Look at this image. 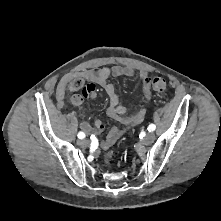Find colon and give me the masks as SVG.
I'll list each match as a JSON object with an SVG mask.
<instances>
[{"instance_id":"1","label":"colon","mask_w":221,"mask_h":221,"mask_svg":"<svg viewBox=\"0 0 221 221\" xmlns=\"http://www.w3.org/2000/svg\"><path fill=\"white\" fill-rule=\"evenodd\" d=\"M83 85H84V82L81 78H73L68 83L67 86L70 90H79V89H82ZM166 86H167L166 81L163 78L156 77L152 80V89L155 92L165 91ZM83 94H85V93L83 92ZM112 156H113V154L110 151H105L104 154H103L104 160L106 162H109L112 159Z\"/></svg>"}]
</instances>
